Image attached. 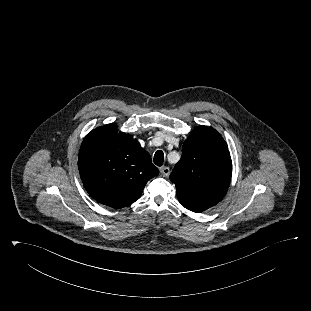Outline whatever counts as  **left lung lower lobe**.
I'll use <instances>...</instances> for the list:
<instances>
[{
  "label": "left lung lower lobe",
  "mask_w": 311,
  "mask_h": 311,
  "mask_svg": "<svg viewBox=\"0 0 311 311\" xmlns=\"http://www.w3.org/2000/svg\"><path fill=\"white\" fill-rule=\"evenodd\" d=\"M177 197H178V200L181 203V205H183L188 210H191V211L196 212V213L203 212V211L207 210L208 208L212 207V205L193 202V201H190L188 199L182 198L178 195H177Z\"/></svg>",
  "instance_id": "1"
}]
</instances>
